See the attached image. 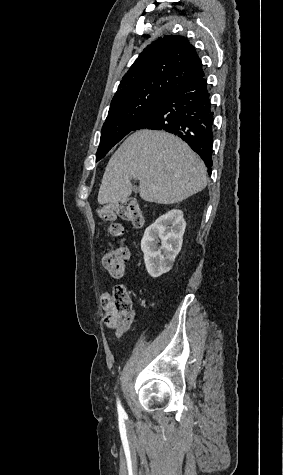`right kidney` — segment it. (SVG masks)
<instances>
[{
	"label": "right kidney",
	"instance_id": "obj_1",
	"mask_svg": "<svg viewBox=\"0 0 283 475\" xmlns=\"http://www.w3.org/2000/svg\"><path fill=\"white\" fill-rule=\"evenodd\" d=\"M185 228L186 222L181 210H170L146 228L141 239V249L149 275L159 277L172 269L175 257L182 247ZM156 239H160V247Z\"/></svg>",
	"mask_w": 283,
	"mask_h": 475
}]
</instances>
